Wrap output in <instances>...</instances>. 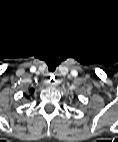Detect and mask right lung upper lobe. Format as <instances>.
<instances>
[{"instance_id":"1","label":"right lung upper lobe","mask_w":118,"mask_h":142,"mask_svg":"<svg viewBox=\"0 0 118 142\" xmlns=\"http://www.w3.org/2000/svg\"><path fill=\"white\" fill-rule=\"evenodd\" d=\"M33 91H34V89H33V88H31V89L29 90V92H30V93H32Z\"/></svg>"}]
</instances>
